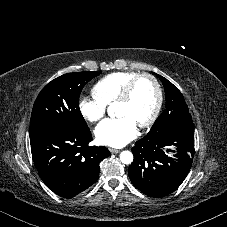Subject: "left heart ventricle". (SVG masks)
Masks as SVG:
<instances>
[{
    "label": "left heart ventricle",
    "mask_w": 227,
    "mask_h": 227,
    "mask_svg": "<svg viewBox=\"0 0 227 227\" xmlns=\"http://www.w3.org/2000/svg\"><path fill=\"white\" fill-rule=\"evenodd\" d=\"M156 102V91L148 78H141L133 90L130 100L123 104H116L118 116L130 118L137 126L151 115Z\"/></svg>",
    "instance_id": "1"
}]
</instances>
